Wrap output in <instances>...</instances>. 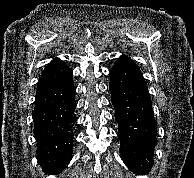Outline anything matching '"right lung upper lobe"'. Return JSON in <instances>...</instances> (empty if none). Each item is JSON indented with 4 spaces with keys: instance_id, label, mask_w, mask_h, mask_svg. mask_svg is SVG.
<instances>
[{
    "instance_id": "right-lung-upper-lobe-1",
    "label": "right lung upper lobe",
    "mask_w": 194,
    "mask_h": 178,
    "mask_svg": "<svg viewBox=\"0 0 194 178\" xmlns=\"http://www.w3.org/2000/svg\"><path fill=\"white\" fill-rule=\"evenodd\" d=\"M69 69L70 68L67 66V64H65L61 60L57 58L53 59L51 63H49L45 67L44 71L41 74V77L39 78V82L47 81L55 77H58Z\"/></svg>"
}]
</instances>
